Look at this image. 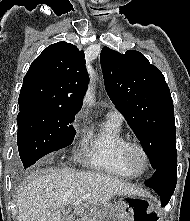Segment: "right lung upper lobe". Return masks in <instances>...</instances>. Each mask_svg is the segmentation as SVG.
Listing matches in <instances>:
<instances>
[{"label":"right lung upper lobe","instance_id":"obj_1","mask_svg":"<svg viewBox=\"0 0 190 221\" xmlns=\"http://www.w3.org/2000/svg\"><path fill=\"white\" fill-rule=\"evenodd\" d=\"M87 84L84 52L73 44L55 43L42 51L25 75L19 111L40 108L78 113Z\"/></svg>","mask_w":190,"mask_h":221}]
</instances>
